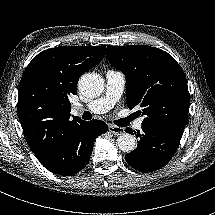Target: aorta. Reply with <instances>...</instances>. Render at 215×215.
<instances>
[{"mask_svg": "<svg viewBox=\"0 0 215 215\" xmlns=\"http://www.w3.org/2000/svg\"><path fill=\"white\" fill-rule=\"evenodd\" d=\"M79 88L84 96L97 97L103 91V79L96 74H84L79 80ZM117 146L121 151L130 153L136 149V139L132 134L123 133L117 138Z\"/></svg>", "mask_w": 215, "mask_h": 215, "instance_id": "1", "label": "aorta"}]
</instances>
